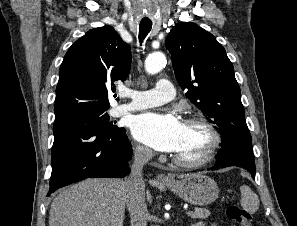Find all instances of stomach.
Returning a JSON list of instances; mask_svg holds the SVG:
<instances>
[{"mask_svg":"<svg viewBox=\"0 0 297 226\" xmlns=\"http://www.w3.org/2000/svg\"><path fill=\"white\" fill-rule=\"evenodd\" d=\"M165 185L176 195L194 205L210 204L219 195L217 183L203 174H189Z\"/></svg>","mask_w":297,"mask_h":226,"instance_id":"stomach-1","label":"stomach"}]
</instances>
